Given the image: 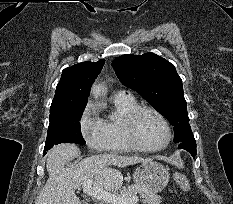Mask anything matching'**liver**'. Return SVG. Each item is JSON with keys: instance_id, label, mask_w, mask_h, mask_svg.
<instances>
[{"instance_id": "6515ba94", "label": "liver", "mask_w": 233, "mask_h": 204, "mask_svg": "<svg viewBox=\"0 0 233 204\" xmlns=\"http://www.w3.org/2000/svg\"><path fill=\"white\" fill-rule=\"evenodd\" d=\"M79 155L80 149L68 143L56 145L48 152L46 169L49 177L36 204H81L75 190L89 179L94 187L117 191L123 185V176L112 166L126 167L150 161L141 157L97 154L73 166H65Z\"/></svg>"}]
</instances>
